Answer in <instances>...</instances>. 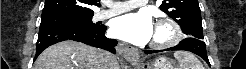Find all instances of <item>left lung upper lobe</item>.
Masks as SVG:
<instances>
[{
  "label": "left lung upper lobe",
  "instance_id": "obj_1",
  "mask_svg": "<svg viewBox=\"0 0 246 69\" xmlns=\"http://www.w3.org/2000/svg\"><path fill=\"white\" fill-rule=\"evenodd\" d=\"M160 9L180 25L184 34L203 40L201 10L197 0H164Z\"/></svg>",
  "mask_w": 246,
  "mask_h": 69
}]
</instances>
